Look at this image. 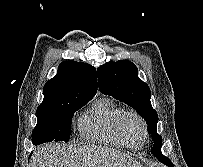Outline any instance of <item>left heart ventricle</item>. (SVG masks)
I'll return each instance as SVG.
<instances>
[{
    "label": "left heart ventricle",
    "instance_id": "1",
    "mask_svg": "<svg viewBox=\"0 0 203 167\" xmlns=\"http://www.w3.org/2000/svg\"><path fill=\"white\" fill-rule=\"evenodd\" d=\"M125 130L127 135L129 136L130 140L134 143V144H141L142 140H143V130H142V126L139 123L138 120H136L135 118H128L125 121Z\"/></svg>",
    "mask_w": 203,
    "mask_h": 167
}]
</instances>
